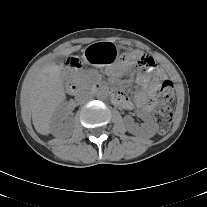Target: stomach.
<instances>
[{
    "instance_id": "1",
    "label": "stomach",
    "mask_w": 207,
    "mask_h": 207,
    "mask_svg": "<svg viewBox=\"0 0 207 207\" xmlns=\"http://www.w3.org/2000/svg\"><path fill=\"white\" fill-rule=\"evenodd\" d=\"M83 58L87 64L111 72L117 67L120 56L115 44L100 41L87 46Z\"/></svg>"
}]
</instances>
